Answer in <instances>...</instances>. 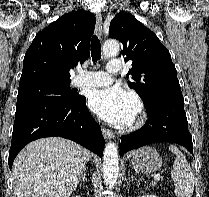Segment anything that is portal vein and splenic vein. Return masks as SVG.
Here are the masks:
<instances>
[{
  "label": "portal vein and splenic vein",
  "mask_w": 209,
  "mask_h": 197,
  "mask_svg": "<svg viewBox=\"0 0 209 197\" xmlns=\"http://www.w3.org/2000/svg\"><path fill=\"white\" fill-rule=\"evenodd\" d=\"M161 179V176L159 174L155 175L154 176V180L155 181H159Z\"/></svg>",
  "instance_id": "obj_1"
}]
</instances>
